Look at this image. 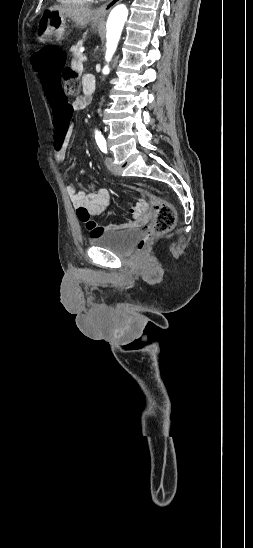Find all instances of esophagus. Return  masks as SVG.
I'll return each instance as SVG.
<instances>
[{"label":"esophagus","instance_id":"obj_1","mask_svg":"<svg viewBox=\"0 0 253 548\" xmlns=\"http://www.w3.org/2000/svg\"><path fill=\"white\" fill-rule=\"evenodd\" d=\"M121 1L122 0H109L95 10V16L98 18L105 17L109 13V11Z\"/></svg>","mask_w":253,"mask_h":548}]
</instances>
